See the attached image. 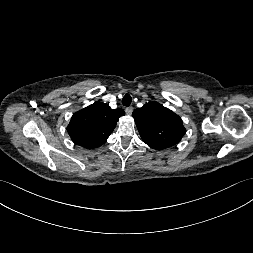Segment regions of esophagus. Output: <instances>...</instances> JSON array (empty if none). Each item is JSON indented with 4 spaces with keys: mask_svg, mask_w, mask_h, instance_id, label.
Listing matches in <instances>:
<instances>
[{
    "mask_svg": "<svg viewBox=\"0 0 253 253\" xmlns=\"http://www.w3.org/2000/svg\"><path fill=\"white\" fill-rule=\"evenodd\" d=\"M125 111H126V114L127 115H131L132 114V112H133V107H127L126 109H125Z\"/></svg>",
    "mask_w": 253,
    "mask_h": 253,
    "instance_id": "34e87169",
    "label": "esophagus"
}]
</instances>
